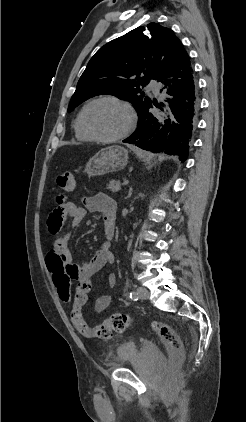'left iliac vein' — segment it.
Instances as JSON below:
<instances>
[{"label":"left iliac vein","mask_w":246,"mask_h":422,"mask_svg":"<svg viewBox=\"0 0 246 422\" xmlns=\"http://www.w3.org/2000/svg\"><path fill=\"white\" fill-rule=\"evenodd\" d=\"M137 295L140 299L146 300L149 298V291L144 287L137 288Z\"/></svg>","instance_id":"left-iliac-vein-1"}]
</instances>
